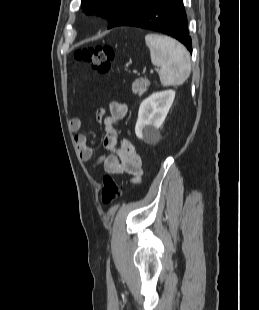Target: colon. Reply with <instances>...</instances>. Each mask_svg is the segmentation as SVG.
Here are the masks:
<instances>
[{"instance_id": "colon-1", "label": "colon", "mask_w": 259, "mask_h": 310, "mask_svg": "<svg viewBox=\"0 0 259 310\" xmlns=\"http://www.w3.org/2000/svg\"><path fill=\"white\" fill-rule=\"evenodd\" d=\"M76 58L90 65L97 72L108 73L112 68L115 51L110 45L98 44L78 50ZM122 193V185L111 175L107 174L103 177L101 200L104 204H109L116 200Z\"/></svg>"}]
</instances>
